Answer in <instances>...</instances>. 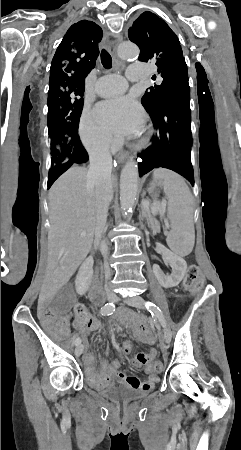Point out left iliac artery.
Returning a JSON list of instances; mask_svg holds the SVG:
<instances>
[{
  "label": "left iliac artery",
  "instance_id": "left-iliac-artery-1",
  "mask_svg": "<svg viewBox=\"0 0 241 450\" xmlns=\"http://www.w3.org/2000/svg\"><path fill=\"white\" fill-rule=\"evenodd\" d=\"M145 306H146L147 310L153 316H156L159 319L161 325L165 328L166 327V321H165V318L163 316V313H162L161 309L157 305L152 303V302H146Z\"/></svg>",
  "mask_w": 241,
  "mask_h": 450
}]
</instances>
